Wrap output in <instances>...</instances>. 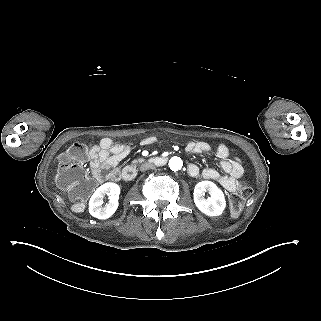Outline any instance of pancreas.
I'll return each instance as SVG.
<instances>
[{
    "instance_id": "obj_1",
    "label": "pancreas",
    "mask_w": 321,
    "mask_h": 321,
    "mask_svg": "<svg viewBox=\"0 0 321 321\" xmlns=\"http://www.w3.org/2000/svg\"><path fill=\"white\" fill-rule=\"evenodd\" d=\"M142 162H145L144 158H138V159L132 160V163H142Z\"/></svg>"
}]
</instances>
